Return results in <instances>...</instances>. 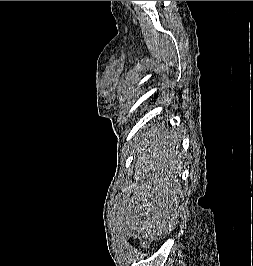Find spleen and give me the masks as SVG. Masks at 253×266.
Returning <instances> with one entry per match:
<instances>
[{
	"instance_id": "obj_1",
	"label": "spleen",
	"mask_w": 253,
	"mask_h": 266,
	"mask_svg": "<svg viewBox=\"0 0 253 266\" xmlns=\"http://www.w3.org/2000/svg\"><path fill=\"white\" fill-rule=\"evenodd\" d=\"M147 147L152 153L139 163L138 179H146L147 184L159 190H143L140 193L143 207H118V216H130L131 233L138 235L140 242H156L157 235H174L173 221L167 216L174 215L169 202L160 199H174V190H165L178 178L180 161L178 153H165V150H178V141H153L148 138Z\"/></svg>"
}]
</instances>
